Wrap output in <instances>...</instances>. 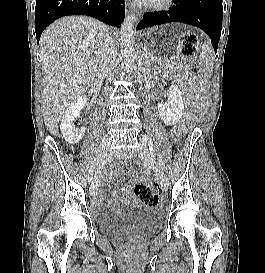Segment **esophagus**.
I'll return each instance as SVG.
<instances>
[{"label":"esophagus","instance_id":"34e87169","mask_svg":"<svg viewBox=\"0 0 265 273\" xmlns=\"http://www.w3.org/2000/svg\"><path fill=\"white\" fill-rule=\"evenodd\" d=\"M133 10H135V7L133 6V4H131L129 7V11H133Z\"/></svg>","mask_w":265,"mask_h":273}]
</instances>
